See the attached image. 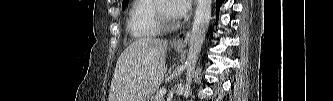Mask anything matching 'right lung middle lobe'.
<instances>
[{"instance_id": "obj_1", "label": "right lung middle lobe", "mask_w": 333, "mask_h": 101, "mask_svg": "<svg viewBox=\"0 0 333 101\" xmlns=\"http://www.w3.org/2000/svg\"><path fill=\"white\" fill-rule=\"evenodd\" d=\"M126 5H127V2H125L124 4H122V8L125 9Z\"/></svg>"}]
</instances>
